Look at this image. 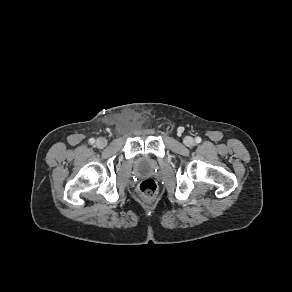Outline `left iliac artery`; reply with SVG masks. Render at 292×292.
Returning a JSON list of instances; mask_svg holds the SVG:
<instances>
[{
  "label": "left iliac artery",
  "mask_w": 292,
  "mask_h": 292,
  "mask_svg": "<svg viewBox=\"0 0 292 292\" xmlns=\"http://www.w3.org/2000/svg\"><path fill=\"white\" fill-rule=\"evenodd\" d=\"M195 141H196V143H200L202 141V139L200 137H196Z\"/></svg>",
  "instance_id": "44dca946"
}]
</instances>
